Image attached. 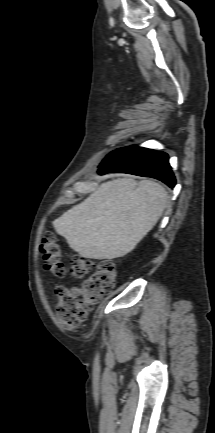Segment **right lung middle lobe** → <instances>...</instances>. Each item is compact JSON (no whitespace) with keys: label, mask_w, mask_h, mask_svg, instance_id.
I'll return each instance as SVG.
<instances>
[{"label":"right lung middle lobe","mask_w":215,"mask_h":433,"mask_svg":"<svg viewBox=\"0 0 215 433\" xmlns=\"http://www.w3.org/2000/svg\"><path fill=\"white\" fill-rule=\"evenodd\" d=\"M125 148H126V147H125ZM125 148H120V149H117V150L111 152L109 155L106 156V158L103 160L102 163L107 162L109 159H111L112 157H114L115 155H117L119 152H121V151L124 150Z\"/></svg>","instance_id":"obj_1"}]
</instances>
